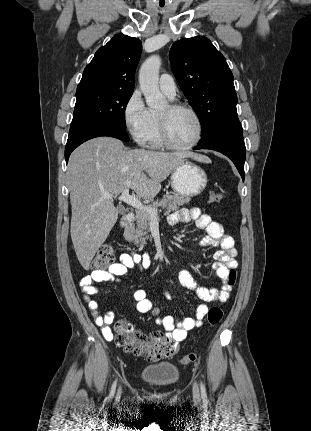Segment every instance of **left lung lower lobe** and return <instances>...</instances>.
I'll return each mask as SVG.
<instances>
[{"mask_svg":"<svg viewBox=\"0 0 311 431\" xmlns=\"http://www.w3.org/2000/svg\"><path fill=\"white\" fill-rule=\"evenodd\" d=\"M194 149H211L226 155L233 161L244 181L246 148L242 127L231 128L209 141L198 143Z\"/></svg>","mask_w":311,"mask_h":431,"instance_id":"left-lung-lower-lobe-1","label":"left lung lower lobe"}]
</instances>
